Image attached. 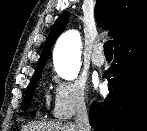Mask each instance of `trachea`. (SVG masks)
I'll use <instances>...</instances> for the list:
<instances>
[{
    "instance_id": "obj_1",
    "label": "trachea",
    "mask_w": 147,
    "mask_h": 131,
    "mask_svg": "<svg viewBox=\"0 0 147 131\" xmlns=\"http://www.w3.org/2000/svg\"><path fill=\"white\" fill-rule=\"evenodd\" d=\"M104 53L112 54L113 53V43L112 40H108L104 43Z\"/></svg>"
}]
</instances>
